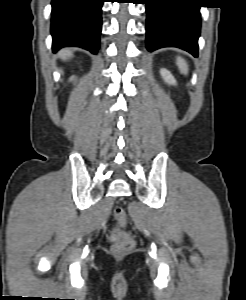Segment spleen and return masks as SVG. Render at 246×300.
<instances>
[{
	"instance_id": "1",
	"label": "spleen",
	"mask_w": 246,
	"mask_h": 300,
	"mask_svg": "<svg viewBox=\"0 0 246 300\" xmlns=\"http://www.w3.org/2000/svg\"><path fill=\"white\" fill-rule=\"evenodd\" d=\"M177 66L181 73H183L185 75L188 73L187 62L180 56L177 57Z\"/></svg>"
}]
</instances>
